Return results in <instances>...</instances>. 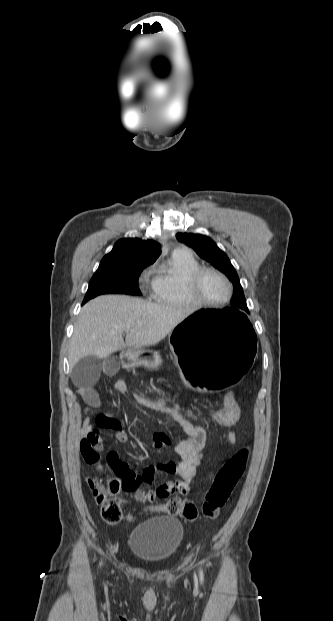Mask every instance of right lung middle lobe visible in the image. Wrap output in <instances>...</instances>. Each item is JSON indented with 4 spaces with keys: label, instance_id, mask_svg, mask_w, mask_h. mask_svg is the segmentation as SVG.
I'll return each mask as SVG.
<instances>
[{
    "label": "right lung middle lobe",
    "instance_id": "right-lung-middle-lobe-1",
    "mask_svg": "<svg viewBox=\"0 0 333 621\" xmlns=\"http://www.w3.org/2000/svg\"><path fill=\"white\" fill-rule=\"evenodd\" d=\"M149 264L131 262L100 263L93 275L83 304L95 296L107 293L141 295L138 277Z\"/></svg>",
    "mask_w": 333,
    "mask_h": 621
}]
</instances>
